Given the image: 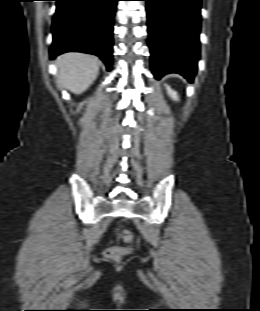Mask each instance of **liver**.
I'll return each mask as SVG.
<instances>
[{
  "label": "liver",
  "mask_w": 260,
  "mask_h": 311,
  "mask_svg": "<svg viewBox=\"0 0 260 311\" xmlns=\"http://www.w3.org/2000/svg\"><path fill=\"white\" fill-rule=\"evenodd\" d=\"M57 82L74 94H81L94 82L99 73L97 57L70 52L59 56Z\"/></svg>",
  "instance_id": "obj_1"
}]
</instances>
